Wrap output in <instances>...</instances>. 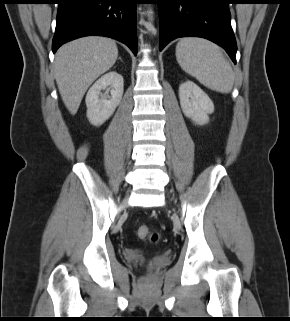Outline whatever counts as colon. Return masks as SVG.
<instances>
[{"label":"colon","mask_w":290,"mask_h":321,"mask_svg":"<svg viewBox=\"0 0 290 321\" xmlns=\"http://www.w3.org/2000/svg\"><path fill=\"white\" fill-rule=\"evenodd\" d=\"M137 235L140 239L151 243H158L161 238L159 232L151 230L147 225H140L137 228Z\"/></svg>","instance_id":"colon-1"}]
</instances>
